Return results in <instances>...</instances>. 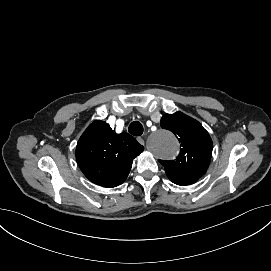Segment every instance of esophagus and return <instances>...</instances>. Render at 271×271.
I'll list each match as a JSON object with an SVG mask.
<instances>
[{
  "instance_id": "34e87169",
  "label": "esophagus",
  "mask_w": 271,
  "mask_h": 271,
  "mask_svg": "<svg viewBox=\"0 0 271 271\" xmlns=\"http://www.w3.org/2000/svg\"><path fill=\"white\" fill-rule=\"evenodd\" d=\"M137 141H138L141 145H144V144H145V141H144L143 138H141V137H137Z\"/></svg>"
}]
</instances>
